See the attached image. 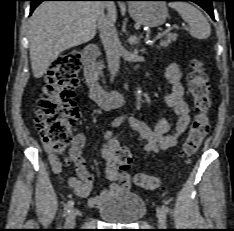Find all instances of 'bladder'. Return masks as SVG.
<instances>
[{"instance_id":"obj_1","label":"bladder","mask_w":234,"mask_h":231,"mask_svg":"<svg viewBox=\"0 0 234 231\" xmlns=\"http://www.w3.org/2000/svg\"><path fill=\"white\" fill-rule=\"evenodd\" d=\"M146 211L142 197L133 192H121L100 207L99 215L105 222L130 224L143 218Z\"/></svg>"}]
</instances>
